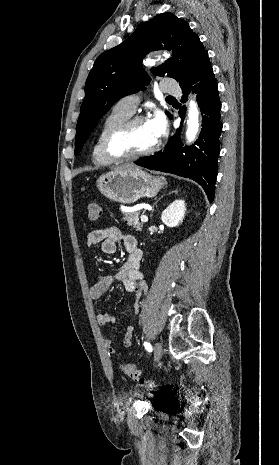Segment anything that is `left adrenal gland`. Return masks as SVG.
<instances>
[{"label": "left adrenal gland", "instance_id": "obj_1", "mask_svg": "<svg viewBox=\"0 0 279 465\" xmlns=\"http://www.w3.org/2000/svg\"><path fill=\"white\" fill-rule=\"evenodd\" d=\"M177 192H178V190H174V191H172L171 193H177ZM171 193H169V194H171ZM162 197H163V196H161V197L154 203V206L159 202V200H160ZM154 206H153V207H154Z\"/></svg>", "mask_w": 279, "mask_h": 465}]
</instances>
